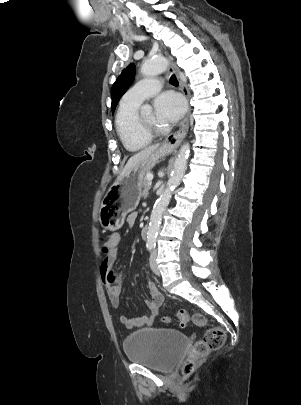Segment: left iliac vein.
<instances>
[{"instance_id":"obj_1","label":"left iliac vein","mask_w":301,"mask_h":405,"mask_svg":"<svg viewBox=\"0 0 301 405\" xmlns=\"http://www.w3.org/2000/svg\"><path fill=\"white\" fill-rule=\"evenodd\" d=\"M150 267L156 275L160 274L159 268L156 263V252H152L151 257H150Z\"/></svg>"}]
</instances>
